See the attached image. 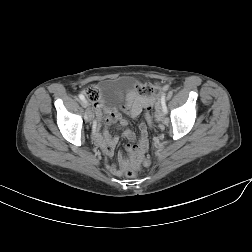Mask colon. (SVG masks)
<instances>
[{
	"instance_id": "5ec220e1",
	"label": "colon",
	"mask_w": 252,
	"mask_h": 252,
	"mask_svg": "<svg viewBox=\"0 0 252 252\" xmlns=\"http://www.w3.org/2000/svg\"><path fill=\"white\" fill-rule=\"evenodd\" d=\"M136 90L141 95H150V94L155 93L157 91V88L154 86H151V85L138 83L136 85ZM83 94L90 102H92L94 104L99 102L100 93L95 86L90 85V86L85 87L83 89ZM151 108H152V106L148 107L145 112V115H144L145 122L148 125H150L152 122ZM140 171H141V169L139 166H131L126 169L125 175L128 178H135L136 176H138L140 174Z\"/></svg>"
}]
</instances>
